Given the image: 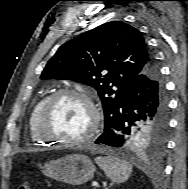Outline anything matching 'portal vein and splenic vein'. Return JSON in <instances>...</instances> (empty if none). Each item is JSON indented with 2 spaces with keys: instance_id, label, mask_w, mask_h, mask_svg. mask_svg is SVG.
<instances>
[{
  "instance_id": "portal-vein-and-splenic-vein-1",
  "label": "portal vein and splenic vein",
  "mask_w": 188,
  "mask_h": 189,
  "mask_svg": "<svg viewBox=\"0 0 188 189\" xmlns=\"http://www.w3.org/2000/svg\"><path fill=\"white\" fill-rule=\"evenodd\" d=\"M93 186H94V187H97L98 185H96V184H93Z\"/></svg>"
}]
</instances>
